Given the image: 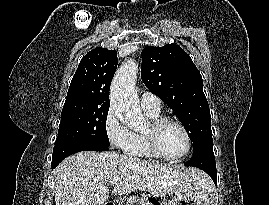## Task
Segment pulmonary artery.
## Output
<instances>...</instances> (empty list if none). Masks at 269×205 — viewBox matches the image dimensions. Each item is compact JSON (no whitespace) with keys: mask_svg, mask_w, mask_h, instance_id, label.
Segmentation results:
<instances>
[{"mask_svg":"<svg viewBox=\"0 0 269 205\" xmlns=\"http://www.w3.org/2000/svg\"><path fill=\"white\" fill-rule=\"evenodd\" d=\"M141 106L143 110L156 112L160 111L161 101L156 95L146 91L141 95Z\"/></svg>","mask_w":269,"mask_h":205,"instance_id":"pulmonary-artery-1","label":"pulmonary artery"}]
</instances>
